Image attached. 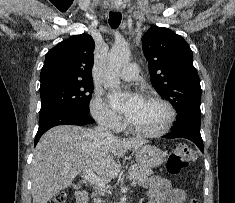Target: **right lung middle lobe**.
I'll return each mask as SVG.
<instances>
[{"mask_svg":"<svg viewBox=\"0 0 235 203\" xmlns=\"http://www.w3.org/2000/svg\"><path fill=\"white\" fill-rule=\"evenodd\" d=\"M93 92L92 81H57L40 86L41 109L39 117L59 110L89 113Z\"/></svg>","mask_w":235,"mask_h":203,"instance_id":"obj_1","label":"right lung middle lobe"}]
</instances>
